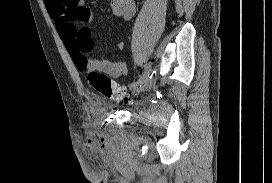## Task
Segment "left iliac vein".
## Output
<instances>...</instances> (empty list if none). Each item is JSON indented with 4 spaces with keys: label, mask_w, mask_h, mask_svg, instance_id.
Segmentation results:
<instances>
[{
    "label": "left iliac vein",
    "mask_w": 272,
    "mask_h": 183,
    "mask_svg": "<svg viewBox=\"0 0 272 183\" xmlns=\"http://www.w3.org/2000/svg\"><path fill=\"white\" fill-rule=\"evenodd\" d=\"M144 83H145V84H144V86H143L142 88H140V89H135L134 92L139 93V92H142V91H146V90H148V89H151V88L154 86V84H155V80H154V78L148 79V80H146Z\"/></svg>",
    "instance_id": "1"
}]
</instances>
